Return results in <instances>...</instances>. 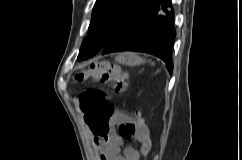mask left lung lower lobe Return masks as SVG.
I'll return each mask as SVG.
<instances>
[{
	"label": "left lung lower lobe",
	"instance_id": "0a47b994",
	"mask_svg": "<svg viewBox=\"0 0 242 160\" xmlns=\"http://www.w3.org/2000/svg\"><path fill=\"white\" fill-rule=\"evenodd\" d=\"M173 22L171 0H155L106 44L102 54L125 50L150 53L161 58L172 72L171 47L176 35Z\"/></svg>",
	"mask_w": 242,
	"mask_h": 160
}]
</instances>
